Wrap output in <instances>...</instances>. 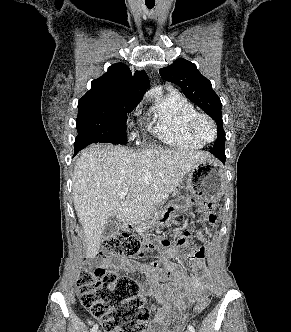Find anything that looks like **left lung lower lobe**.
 <instances>
[{
  "instance_id": "obj_1",
  "label": "left lung lower lobe",
  "mask_w": 291,
  "mask_h": 332,
  "mask_svg": "<svg viewBox=\"0 0 291 332\" xmlns=\"http://www.w3.org/2000/svg\"><path fill=\"white\" fill-rule=\"evenodd\" d=\"M210 152L217 156L223 163H225L226 156L224 149H211Z\"/></svg>"
}]
</instances>
